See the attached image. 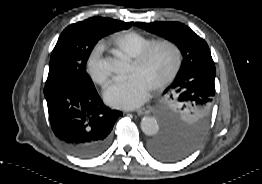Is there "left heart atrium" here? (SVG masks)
I'll return each instance as SVG.
<instances>
[{
	"mask_svg": "<svg viewBox=\"0 0 262 184\" xmlns=\"http://www.w3.org/2000/svg\"><path fill=\"white\" fill-rule=\"evenodd\" d=\"M153 86L139 73L120 79L105 93L106 102L115 108L133 109L143 104Z\"/></svg>",
	"mask_w": 262,
	"mask_h": 184,
	"instance_id": "1",
	"label": "left heart atrium"
}]
</instances>
